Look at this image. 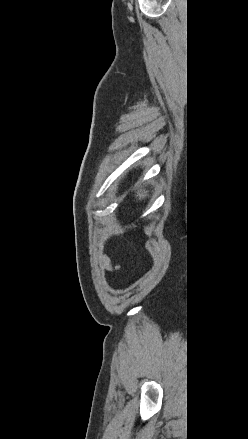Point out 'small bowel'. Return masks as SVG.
<instances>
[{"label": "small bowel", "instance_id": "small-bowel-1", "mask_svg": "<svg viewBox=\"0 0 248 439\" xmlns=\"http://www.w3.org/2000/svg\"><path fill=\"white\" fill-rule=\"evenodd\" d=\"M103 266L105 269L112 271V270H117L119 268L118 265H114L111 260L108 257H105L103 259Z\"/></svg>", "mask_w": 248, "mask_h": 439}]
</instances>
